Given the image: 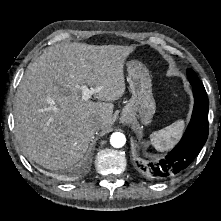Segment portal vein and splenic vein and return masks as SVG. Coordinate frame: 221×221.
<instances>
[{"label":"portal vein and splenic vein","instance_id":"18ae733b","mask_svg":"<svg viewBox=\"0 0 221 221\" xmlns=\"http://www.w3.org/2000/svg\"><path fill=\"white\" fill-rule=\"evenodd\" d=\"M100 89H101L100 87L94 89V88H88V87L85 86V85L82 86V87H81L82 100H83V101L89 100V99L91 98V96H92L95 92L99 91Z\"/></svg>","mask_w":221,"mask_h":221}]
</instances>
